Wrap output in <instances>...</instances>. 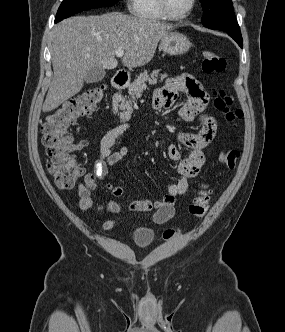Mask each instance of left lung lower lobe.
I'll return each mask as SVG.
<instances>
[{"instance_id":"left-lung-lower-lobe-1","label":"left lung lower lobe","mask_w":285,"mask_h":332,"mask_svg":"<svg viewBox=\"0 0 285 332\" xmlns=\"http://www.w3.org/2000/svg\"><path fill=\"white\" fill-rule=\"evenodd\" d=\"M228 33L229 36H231L237 43L238 45L242 48L243 47V41H242V36L239 31H229V30H223Z\"/></svg>"}]
</instances>
